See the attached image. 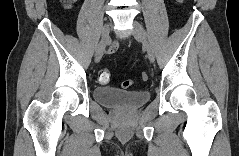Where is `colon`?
I'll list each match as a JSON object with an SVG mask.
<instances>
[{
  "instance_id": "1",
  "label": "colon",
  "mask_w": 239,
  "mask_h": 156,
  "mask_svg": "<svg viewBox=\"0 0 239 156\" xmlns=\"http://www.w3.org/2000/svg\"><path fill=\"white\" fill-rule=\"evenodd\" d=\"M148 79V76L146 73H142L140 76V80L141 81H146ZM110 80V72L108 69L104 68L99 72L98 75V81L102 84H106L108 83ZM135 82L132 80H125L122 83V87L124 89L130 88Z\"/></svg>"
}]
</instances>
